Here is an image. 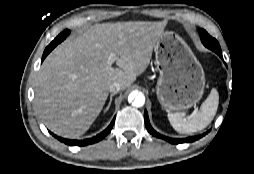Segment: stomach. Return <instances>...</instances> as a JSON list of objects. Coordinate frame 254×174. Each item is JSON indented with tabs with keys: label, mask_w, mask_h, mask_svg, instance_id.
Masks as SVG:
<instances>
[{
	"label": "stomach",
	"mask_w": 254,
	"mask_h": 174,
	"mask_svg": "<svg viewBox=\"0 0 254 174\" xmlns=\"http://www.w3.org/2000/svg\"><path fill=\"white\" fill-rule=\"evenodd\" d=\"M159 71L157 98L168 111L186 110L202 97L204 70L187 43L172 31H163L154 46Z\"/></svg>",
	"instance_id": "1"
}]
</instances>
